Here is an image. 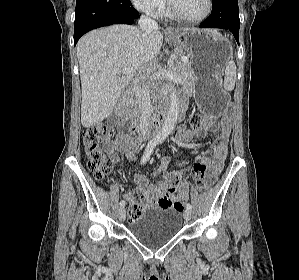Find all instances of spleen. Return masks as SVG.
I'll use <instances>...</instances> for the list:
<instances>
[{"mask_svg":"<svg viewBox=\"0 0 299 280\" xmlns=\"http://www.w3.org/2000/svg\"><path fill=\"white\" fill-rule=\"evenodd\" d=\"M236 80V65L233 60H230L225 69V78L223 86L225 90L232 91L235 87Z\"/></svg>","mask_w":299,"mask_h":280,"instance_id":"spleen-1","label":"spleen"}]
</instances>
